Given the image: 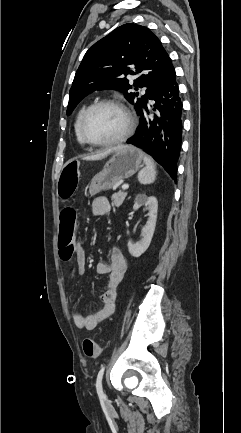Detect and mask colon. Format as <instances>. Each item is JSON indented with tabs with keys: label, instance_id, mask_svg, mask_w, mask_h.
I'll return each instance as SVG.
<instances>
[{
	"label": "colon",
	"instance_id": "obj_1",
	"mask_svg": "<svg viewBox=\"0 0 241 433\" xmlns=\"http://www.w3.org/2000/svg\"><path fill=\"white\" fill-rule=\"evenodd\" d=\"M78 157H69L63 162L57 182V194L59 201H72L78 177L83 176V169ZM78 207H61L57 225L60 226L59 255L63 262L68 263L74 251H80L81 245L76 242V228L78 220ZM84 354L89 358H96L101 353V346L92 338L83 341Z\"/></svg>",
	"mask_w": 241,
	"mask_h": 433
}]
</instances>
